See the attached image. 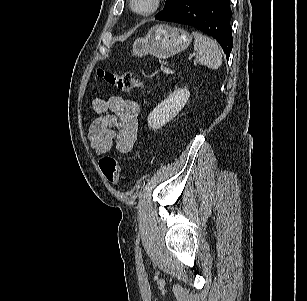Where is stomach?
<instances>
[{"label": "stomach", "instance_id": "stomach-1", "mask_svg": "<svg viewBox=\"0 0 307 301\" xmlns=\"http://www.w3.org/2000/svg\"><path fill=\"white\" fill-rule=\"evenodd\" d=\"M191 41L192 37L184 29L156 25L145 37L135 40L132 51L137 56L151 54L154 57L165 59L184 51Z\"/></svg>", "mask_w": 307, "mask_h": 301}]
</instances>
